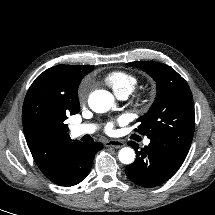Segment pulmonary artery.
Instances as JSON below:
<instances>
[{"mask_svg": "<svg viewBox=\"0 0 215 215\" xmlns=\"http://www.w3.org/2000/svg\"><path fill=\"white\" fill-rule=\"evenodd\" d=\"M128 97V94H121L118 96L119 99L125 100ZM97 127L95 124L85 123L78 124L71 127V135L73 137H81L87 134H92L96 131ZM150 139H145L144 144L149 145Z\"/></svg>", "mask_w": 215, "mask_h": 215, "instance_id": "pulmonary-artery-1", "label": "pulmonary artery"}]
</instances>
